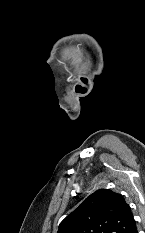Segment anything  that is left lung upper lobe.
Segmentation results:
<instances>
[{
    "label": "left lung upper lobe",
    "instance_id": "left-lung-upper-lobe-1",
    "mask_svg": "<svg viewBox=\"0 0 145 233\" xmlns=\"http://www.w3.org/2000/svg\"><path fill=\"white\" fill-rule=\"evenodd\" d=\"M135 227L123 196L99 189L60 223L58 233H131Z\"/></svg>",
    "mask_w": 145,
    "mask_h": 233
}]
</instances>
